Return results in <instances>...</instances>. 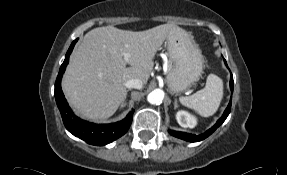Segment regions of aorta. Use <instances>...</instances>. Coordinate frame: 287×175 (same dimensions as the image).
I'll return each instance as SVG.
<instances>
[{"mask_svg": "<svg viewBox=\"0 0 287 175\" xmlns=\"http://www.w3.org/2000/svg\"><path fill=\"white\" fill-rule=\"evenodd\" d=\"M164 99V92L161 89H155L147 96V100L150 104H160Z\"/></svg>", "mask_w": 287, "mask_h": 175, "instance_id": "762f6f07", "label": "aorta"}]
</instances>
